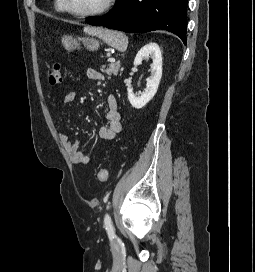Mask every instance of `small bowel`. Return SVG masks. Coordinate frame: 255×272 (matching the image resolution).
<instances>
[{"mask_svg": "<svg viewBox=\"0 0 255 272\" xmlns=\"http://www.w3.org/2000/svg\"><path fill=\"white\" fill-rule=\"evenodd\" d=\"M87 77L94 81H103L105 79L102 73L94 69L87 70ZM75 97V92H68L64 96L63 103L69 104L75 100ZM106 121V125L102 126L99 130V136L103 140L111 141L116 138L122 129L121 115L118 111L117 99L114 95L108 97ZM59 139L73 163L83 165L90 163L89 155L80 150L79 143L75 138L60 133Z\"/></svg>", "mask_w": 255, "mask_h": 272, "instance_id": "obj_1", "label": "small bowel"}]
</instances>
